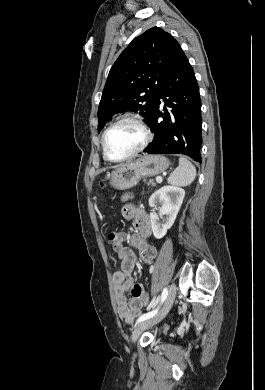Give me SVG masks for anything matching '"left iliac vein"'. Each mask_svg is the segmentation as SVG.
<instances>
[{
    "mask_svg": "<svg viewBox=\"0 0 265 390\" xmlns=\"http://www.w3.org/2000/svg\"><path fill=\"white\" fill-rule=\"evenodd\" d=\"M176 297V285L172 284L169 288L166 300L162 308L152 317L140 322L136 325L132 332V341L135 343L141 333L147 328L159 323L169 312Z\"/></svg>",
    "mask_w": 265,
    "mask_h": 390,
    "instance_id": "left-iliac-vein-1",
    "label": "left iliac vein"
}]
</instances>
